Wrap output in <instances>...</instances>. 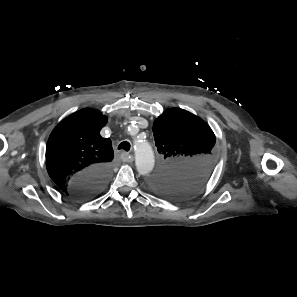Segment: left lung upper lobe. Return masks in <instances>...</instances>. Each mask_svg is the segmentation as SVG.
<instances>
[{
	"label": "left lung upper lobe",
	"mask_w": 297,
	"mask_h": 297,
	"mask_svg": "<svg viewBox=\"0 0 297 297\" xmlns=\"http://www.w3.org/2000/svg\"><path fill=\"white\" fill-rule=\"evenodd\" d=\"M153 132L161 160L151 188L169 198H183L200 189L214 164L216 138L210 126L175 108L155 120Z\"/></svg>",
	"instance_id": "left-lung-upper-lobe-1"
}]
</instances>
